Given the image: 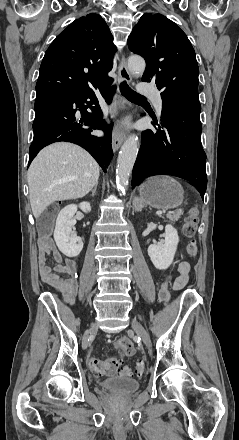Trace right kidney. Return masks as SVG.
<instances>
[{
  "instance_id": "obj_1",
  "label": "right kidney",
  "mask_w": 239,
  "mask_h": 440,
  "mask_svg": "<svg viewBox=\"0 0 239 440\" xmlns=\"http://www.w3.org/2000/svg\"><path fill=\"white\" fill-rule=\"evenodd\" d=\"M78 208H80L82 212H86V214L87 212H91L89 202H81L79 206H76V204L65 206L57 216L54 240H56L57 246L60 247L63 257L76 258V256H79L80 252H82V238H79L76 234H72V228L76 224L74 216Z\"/></svg>"
}]
</instances>
